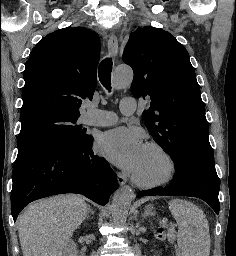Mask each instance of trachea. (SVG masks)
<instances>
[{"mask_svg": "<svg viewBox=\"0 0 236 256\" xmlns=\"http://www.w3.org/2000/svg\"><path fill=\"white\" fill-rule=\"evenodd\" d=\"M111 71L112 61L106 58L99 65L98 76L100 82L108 91H111Z\"/></svg>", "mask_w": 236, "mask_h": 256, "instance_id": "1", "label": "trachea"}]
</instances>
